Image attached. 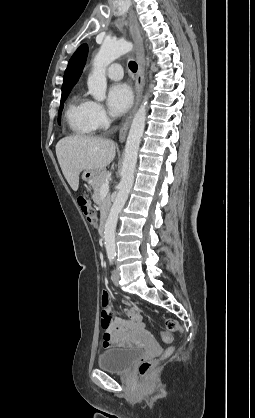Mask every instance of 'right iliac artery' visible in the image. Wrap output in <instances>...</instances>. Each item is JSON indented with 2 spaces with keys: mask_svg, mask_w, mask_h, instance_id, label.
<instances>
[{
  "mask_svg": "<svg viewBox=\"0 0 255 418\" xmlns=\"http://www.w3.org/2000/svg\"><path fill=\"white\" fill-rule=\"evenodd\" d=\"M114 257H109L110 264H112Z\"/></svg>",
  "mask_w": 255,
  "mask_h": 418,
  "instance_id": "82829eb1",
  "label": "right iliac artery"
}]
</instances>
